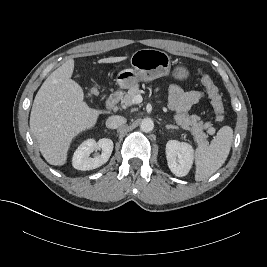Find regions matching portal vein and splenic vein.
<instances>
[{
	"instance_id": "portal-vein-and-splenic-vein-1",
	"label": "portal vein and splenic vein",
	"mask_w": 267,
	"mask_h": 267,
	"mask_svg": "<svg viewBox=\"0 0 267 267\" xmlns=\"http://www.w3.org/2000/svg\"><path fill=\"white\" fill-rule=\"evenodd\" d=\"M133 102H134L135 104H139V103H141V102H142V96H141V95H136V96L134 97V99H133Z\"/></svg>"
}]
</instances>
